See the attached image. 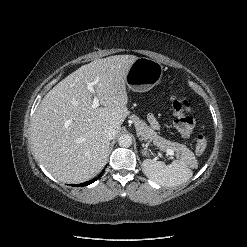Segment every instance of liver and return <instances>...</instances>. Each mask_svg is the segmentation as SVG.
Returning a JSON list of instances; mask_svg holds the SVG:
<instances>
[{"instance_id": "liver-1", "label": "liver", "mask_w": 247, "mask_h": 247, "mask_svg": "<svg viewBox=\"0 0 247 247\" xmlns=\"http://www.w3.org/2000/svg\"><path fill=\"white\" fill-rule=\"evenodd\" d=\"M134 55L96 59L54 86L37 107L31 123L35 157L57 180L81 183L104 167L109 140L105 128L116 133L129 115L126 76ZM94 85L95 95L87 89ZM93 95L102 107L93 108Z\"/></svg>"}]
</instances>
